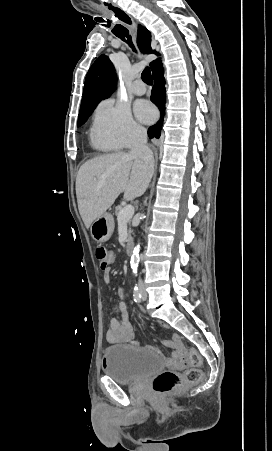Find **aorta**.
Returning <instances> with one entry per match:
<instances>
[{
  "instance_id": "762f6f07",
  "label": "aorta",
  "mask_w": 272,
  "mask_h": 451,
  "mask_svg": "<svg viewBox=\"0 0 272 451\" xmlns=\"http://www.w3.org/2000/svg\"><path fill=\"white\" fill-rule=\"evenodd\" d=\"M139 261H140V245H139V243H137V245H135V247L133 249V253H132L131 259H130V267H131L133 273H137Z\"/></svg>"
}]
</instances>
